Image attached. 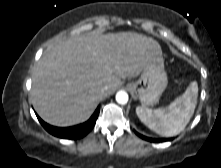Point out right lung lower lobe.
Instances as JSON below:
<instances>
[{
	"mask_svg": "<svg viewBox=\"0 0 221 168\" xmlns=\"http://www.w3.org/2000/svg\"><path fill=\"white\" fill-rule=\"evenodd\" d=\"M99 109L100 107L98 106L94 114L91 116V118L83 123L79 124L76 126H71V127H65V128H60V127H54L51 126L47 123H45L42 119H40L38 116V120L41 123V125L52 135L59 137V138H65V139H79L87 135L92 128L94 127L96 123V119L98 118L99 115Z\"/></svg>",
	"mask_w": 221,
	"mask_h": 168,
	"instance_id": "right-lung-lower-lobe-1",
	"label": "right lung lower lobe"
}]
</instances>
